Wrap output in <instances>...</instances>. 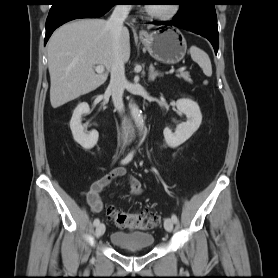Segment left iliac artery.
I'll return each instance as SVG.
<instances>
[{
	"label": "left iliac artery",
	"mask_w": 278,
	"mask_h": 278,
	"mask_svg": "<svg viewBox=\"0 0 278 278\" xmlns=\"http://www.w3.org/2000/svg\"><path fill=\"white\" fill-rule=\"evenodd\" d=\"M171 219H172V221H173L174 223H177V222H178V218H177V216H176L175 214H173V215L171 216Z\"/></svg>",
	"instance_id": "left-iliac-artery-1"
}]
</instances>
